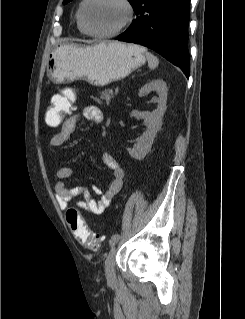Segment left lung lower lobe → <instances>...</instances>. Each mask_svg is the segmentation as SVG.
Returning a JSON list of instances; mask_svg holds the SVG:
<instances>
[{"instance_id":"left-lung-lower-lobe-1","label":"left lung lower lobe","mask_w":245,"mask_h":319,"mask_svg":"<svg viewBox=\"0 0 245 319\" xmlns=\"http://www.w3.org/2000/svg\"><path fill=\"white\" fill-rule=\"evenodd\" d=\"M189 4L190 0H138L136 20L116 39L153 49L188 77Z\"/></svg>"}]
</instances>
